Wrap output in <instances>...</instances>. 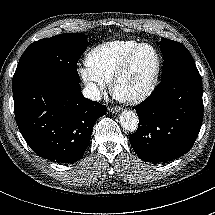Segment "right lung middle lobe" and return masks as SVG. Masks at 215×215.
Masks as SVG:
<instances>
[{
	"mask_svg": "<svg viewBox=\"0 0 215 215\" xmlns=\"http://www.w3.org/2000/svg\"><path fill=\"white\" fill-rule=\"evenodd\" d=\"M87 35L70 33L36 41L22 54L12 89L40 79L80 82L77 62L88 46Z\"/></svg>",
	"mask_w": 215,
	"mask_h": 215,
	"instance_id": "obj_1",
	"label": "right lung middle lobe"
}]
</instances>
